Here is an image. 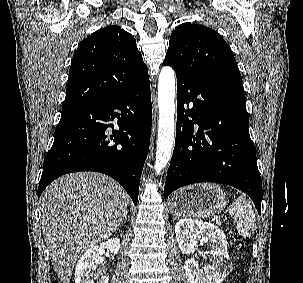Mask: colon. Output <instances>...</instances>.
<instances>
[{
    "label": "colon",
    "instance_id": "5ec220e1",
    "mask_svg": "<svg viewBox=\"0 0 303 283\" xmlns=\"http://www.w3.org/2000/svg\"><path fill=\"white\" fill-rule=\"evenodd\" d=\"M236 246L238 249H242L244 247V243L242 240H237Z\"/></svg>",
    "mask_w": 303,
    "mask_h": 283
}]
</instances>
